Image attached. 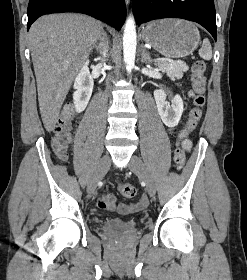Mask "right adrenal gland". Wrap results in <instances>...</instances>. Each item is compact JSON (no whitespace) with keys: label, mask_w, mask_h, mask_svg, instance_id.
<instances>
[{"label":"right adrenal gland","mask_w":247,"mask_h":280,"mask_svg":"<svg viewBox=\"0 0 247 280\" xmlns=\"http://www.w3.org/2000/svg\"><path fill=\"white\" fill-rule=\"evenodd\" d=\"M103 41L102 42H100L98 45H95L94 47L96 48V50H97V52H99L100 54H102L103 53Z\"/></svg>","instance_id":"right-adrenal-gland-1"}]
</instances>
